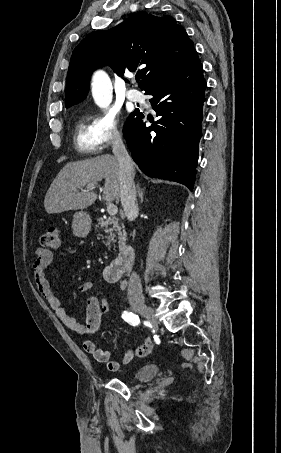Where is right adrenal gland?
<instances>
[{
  "mask_svg": "<svg viewBox=\"0 0 281 453\" xmlns=\"http://www.w3.org/2000/svg\"><path fill=\"white\" fill-rule=\"evenodd\" d=\"M136 188H137L138 196H139V198H140L139 202H143V200H144V196H143V194H144V188H140L139 182H137Z\"/></svg>",
  "mask_w": 281,
  "mask_h": 453,
  "instance_id": "right-adrenal-gland-1",
  "label": "right adrenal gland"
}]
</instances>
